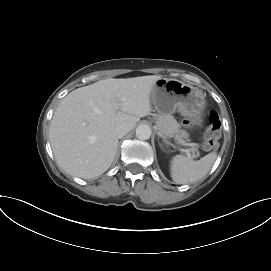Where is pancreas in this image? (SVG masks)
<instances>
[{
	"mask_svg": "<svg viewBox=\"0 0 271 271\" xmlns=\"http://www.w3.org/2000/svg\"><path fill=\"white\" fill-rule=\"evenodd\" d=\"M156 125L157 129L166 136L176 137L181 140H183V138H188L189 136L185 130L180 129V124L170 114L158 115L156 117ZM192 151L199 155V152L194 145L192 146ZM194 156L196 157V155Z\"/></svg>",
	"mask_w": 271,
	"mask_h": 271,
	"instance_id": "pancreas-1",
	"label": "pancreas"
}]
</instances>
